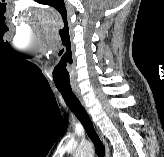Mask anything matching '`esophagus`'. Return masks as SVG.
<instances>
[{
	"mask_svg": "<svg viewBox=\"0 0 164 157\" xmlns=\"http://www.w3.org/2000/svg\"><path fill=\"white\" fill-rule=\"evenodd\" d=\"M74 94L76 95V97L78 98V100L80 101V103L85 107V102L82 98V95L80 94L79 90L74 89L73 90ZM105 147H106V157H109V148L108 145L106 144V142L104 141Z\"/></svg>",
	"mask_w": 164,
	"mask_h": 157,
	"instance_id": "obj_1",
	"label": "esophagus"
}]
</instances>
